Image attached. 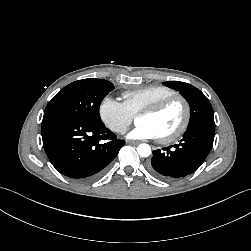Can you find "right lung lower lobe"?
I'll return each instance as SVG.
<instances>
[{
    "mask_svg": "<svg viewBox=\"0 0 251 251\" xmlns=\"http://www.w3.org/2000/svg\"><path fill=\"white\" fill-rule=\"evenodd\" d=\"M41 133L52 165L78 181L99 177L125 144L102 122L66 116L43 119Z\"/></svg>",
    "mask_w": 251,
    "mask_h": 251,
    "instance_id": "obj_1",
    "label": "right lung lower lobe"
}]
</instances>
